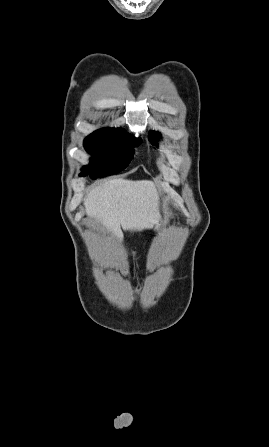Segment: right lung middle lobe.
Wrapping results in <instances>:
<instances>
[{
  "mask_svg": "<svg viewBox=\"0 0 269 447\" xmlns=\"http://www.w3.org/2000/svg\"><path fill=\"white\" fill-rule=\"evenodd\" d=\"M141 139L134 138L122 129H99L86 137L84 147L93 155L90 166L82 169L80 176L89 173L92 179L116 174L128 166L134 157V146Z\"/></svg>",
  "mask_w": 269,
  "mask_h": 447,
  "instance_id": "right-lung-middle-lobe-1",
  "label": "right lung middle lobe"
}]
</instances>
